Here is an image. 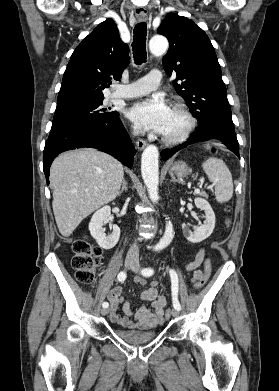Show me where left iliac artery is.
I'll return each instance as SVG.
<instances>
[{
    "mask_svg": "<svg viewBox=\"0 0 279 391\" xmlns=\"http://www.w3.org/2000/svg\"><path fill=\"white\" fill-rule=\"evenodd\" d=\"M154 273V270L152 268H144L142 269V275L149 277L152 276ZM170 277H171V291H172V301L173 306L177 310H181V305L178 301V276L177 273L170 269L169 270Z\"/></svg>",
    "mask_w": 279,
    "mask_h": 391,
    "instance_id": "1",
    "label": "left iliac artery"
}]
</instances>
